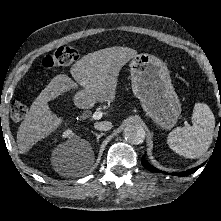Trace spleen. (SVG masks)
Here are the masks:
<instances>
[{"mask_svg":"<svg viewBox=\"0 0 221 221\" xmlns=\"http://www.w3.org/2000/svg\"><path fill=\"white\" fill-rule=\"evenodd\" d=\"M215 117L205 103H196L192 114V126L177 127L167 138L169 147L186 158H199L213 140Z\"/></svg>","mask_w":221,"mask_h":221,"instance_id":"spleen-1","label":"spleen"}]
</instances>
